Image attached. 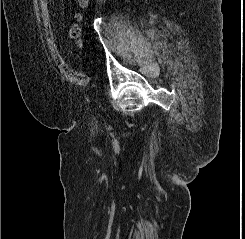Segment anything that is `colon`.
I'll use <instances>...</instances> for the list:
<instances>
[{"mask_svg": "<svg viewBox=\"0 0 245 239\" xmlns=\"http://www.w3.org/2000/svg\"><path fill=\"white\" fill-rule=\"evenodd\" d=\"M77 3L80 8L84 9L88 5V0H77ZM81 21H82V15L80 13H77L75 15V22L70 27V30H69L70 37L75 40L79 48H82L83 46V42L81 38L82 36V30H81V25H80Z\"/></svg>", "mask_w": 245, "mask_h": 239, "instance_id": "5ec220e1", "label": "colon"}]
</instances>
